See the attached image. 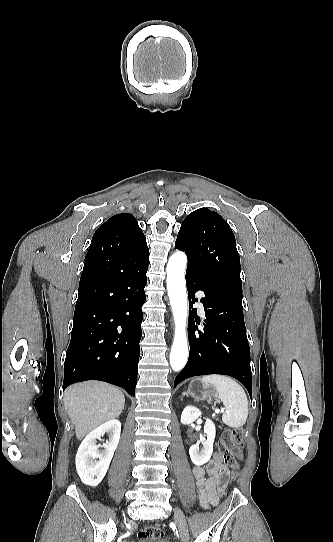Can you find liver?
Here are the masks:
<instances>
[{"instance_id": "6515ba94", "label": "liver", "mask_w": 333, "mask_h": 542, "mask_svg": "<svg viewBox=\"0 0 333 542\" xmlns=\"http://www.w3.org/2000/svg\"><path fill=\"white\" fill-rule=\"evenodd\" d=\"M124 394L103 382H83L65 390V410L75 426L77 440L108 420L119 418L124 410Z\"/></svg>"}]
</instances>
